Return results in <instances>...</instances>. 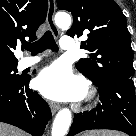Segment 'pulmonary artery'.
Returning a JSON list of instances; mask_svg holds the SVG:
<instances>
[{"label": "pulmonary artery", "mask_w": 136, "mask_h": 136, "mask_svg": "<svg viewBox=\"0 0 136 136\" xmlns=\"http://www.w3.org/2000/svg\"><path fill=\"white\" fill-rule=\"evenodd\" d=\"M60 46L64 50H73L75 48V42L71 37L65 36L60 40ZM41 60L39 56L36 57H25L19 62L21 68H27L38 63Z\"/></svg>", "instance_id": "e3ab8cb5"}]
</instances>
